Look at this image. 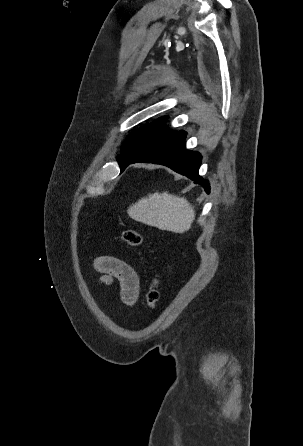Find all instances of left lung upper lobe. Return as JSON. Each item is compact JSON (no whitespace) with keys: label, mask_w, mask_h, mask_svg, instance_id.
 I'll return each instance as SVG.
<instances>
[{"label":"left lung upper lobe","mask_w":303,"mask_h":446,"mask_svg":"<svg viewBox=\"0 0 303 446\" xmlns=\"http://www.w3.org/2000/svg\"><path fill=\"white\" fill-rule=\"evenodd\" d=\"M167 117H161L133 131L123 144L122 154L118 156L120 166L129 158L135 157L149 146L173 135L176 131L168 129L165 125Z\"/></svg>","instance_id":"obj_1"}]
</instances>
